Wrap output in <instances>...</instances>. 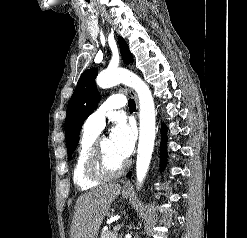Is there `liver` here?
Here are the masks:
<instances>
[{"mask_svg": "<svg viewBox=\"0 0 247 238\" xmlns=\"http://www.w3.org/2000/svg\"><path fill=\"white\" fill-rule=\"evenodd\" d=\"M121 186L110 183L84 193L76 201L71 238H97L100 225Z\"/></svg>", "mask_w": 247, "mask_h": 238, "instance_id": "6515ba94", "label": "liver"}]
</instances>
